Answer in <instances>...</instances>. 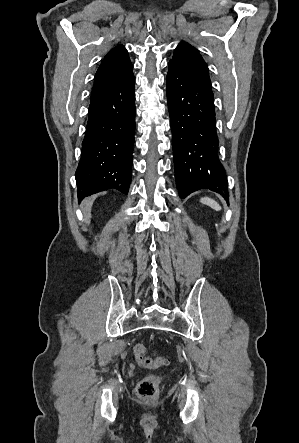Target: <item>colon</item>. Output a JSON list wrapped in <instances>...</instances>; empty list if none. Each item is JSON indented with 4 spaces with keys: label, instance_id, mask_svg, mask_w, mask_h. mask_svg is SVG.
I'll return each mask as SVG.
<instances>
[{
    "label": "colon",
    "instance_id": "1",
    "mask_svg": "<svg viewBox=\"0 0 299 443\" xmlns=\"http://www.w3.org/2000/svg\"><path fill=\"white\" fill-rule=\"evenodd\" d=\"M135 358L142 368L155 369L166 365L168 359L163 356L149 355L143 344H136L133 348ZM159 377L153 374L141 379L136 387L137 396L143 400L153 401L157 398Z\"/></svg>",
    "mask_w": 299,
    "mask_h": 443
}]
</instances>
